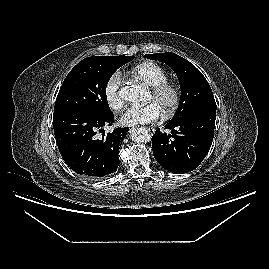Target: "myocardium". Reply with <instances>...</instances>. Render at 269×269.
Segmentation results:
<instances>
[{
  "mask_svg": "<svg viewBox=\"0 0 269 269\" xmlns=\"http://www.w3.org/2000/svg\"><path fill=\"white\" fill-rule=\"evenodd\" d=\"M151 94L155 99H159L166 94H170L171 100L163 111V115L168 118L171 117L181 103L182 93L178 84L172 81H164L151 88Z\"/></svg>",
  "mask_w": 269,
  "mask_h": 269,
  "instance_id": "myocardium-1",
  "label": "myocardium"
}]
</instances>
